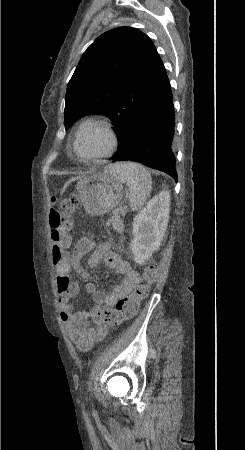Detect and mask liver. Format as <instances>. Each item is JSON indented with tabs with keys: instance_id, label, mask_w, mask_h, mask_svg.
Instances as JSON below:
<instances>
[{
	"instance_id": "1",
	"label": "liver",
	"mask_w": 245,
	"mask_h": 450,
	"mask_svg": "<svg viewBox=\"0 0 245 450\" xmlns=\"http://www.w3.org/2000/svg\"><path fill=\"white\" fill-rule=\"evenodd\" d=\"M75 179H76V178H73V179L69 180L68 182H66L65 185H64V187H63V189H62V192H64V190H65V188L68 186V184H69L70 182L74 181Z\"/></svg>"
}]
</instances>
